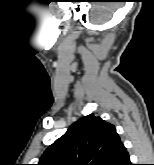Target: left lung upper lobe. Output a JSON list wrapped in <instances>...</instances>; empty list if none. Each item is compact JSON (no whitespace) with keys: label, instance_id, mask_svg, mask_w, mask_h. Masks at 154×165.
Instances as JSON below:
<instances>
[{"label":"left lung upper lobe","instance_id":"obj_1","mask_svg":"<svg viewBox=\"0 0 154 165\" xmlns=\"http://www.w3.org/2000/svg\"><path fill=\"white\" fill-rule=\"evenodd\" d=\"M123 146L114 125L90 114L50 145L38 165H114Z\"/></svg>","mask_w":154,"mask_h":165}]
</instances>
